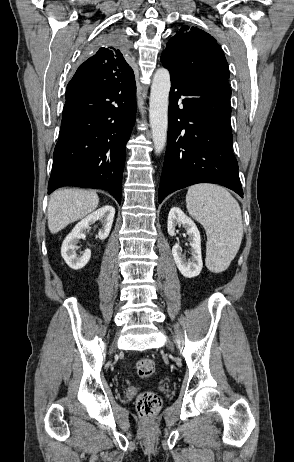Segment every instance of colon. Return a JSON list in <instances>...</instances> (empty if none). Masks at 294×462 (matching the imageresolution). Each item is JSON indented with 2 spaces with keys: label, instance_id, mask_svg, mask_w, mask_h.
I'll list each match as a JSON object with an SVG mask.
<instances>
[{
  "label": "colon",
  "instance_id": "1",
  "mask_svg": "<svg viewBox=\"0 0 294 462\" xmlns=\"http://www.w3.org/2000/svg\"><path fill=\"white\" fill-rule=\"evenodd\" d=\"M155 371V362L150 358H143L137 362V373L141 378H149ZM136 408L140 416L151 418L161 408L160 397L153 392H142L136 399Z\"/></svg>",
  "mask_w": 294,
  "mask_h": 462
}]
</instances>
